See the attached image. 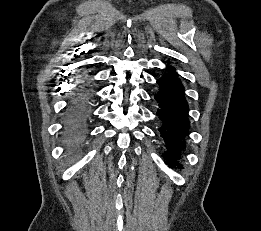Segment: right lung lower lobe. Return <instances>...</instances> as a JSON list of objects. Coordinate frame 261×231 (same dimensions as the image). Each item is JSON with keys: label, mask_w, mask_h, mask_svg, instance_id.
Segmentation results:
<instances>
[{"label": "right lung lower lobe", "mask_w": 261, "mask_h": 231, "mask_svg": "<svg viewBox=\"0 0 261 231\" xmlns=\"http://www.w3.org/2000/svg\"><path fill=\"white\" fill-rule=\"evenodd\" d=\"M90 101L89 85L76 92L70 99L67 107L65 128L69 135L70 148L80 144L84 137L86 122L88 119V105Z\"/></svg>", "instance_id": "obj_1"}]
</instances>
